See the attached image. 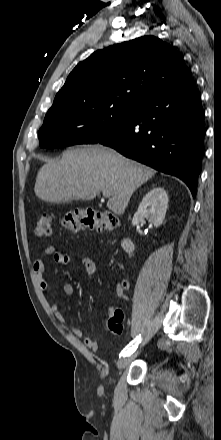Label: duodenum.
<instances>
[{"instance_id":"1","label":"duodenum","mask_w":221,"mask_h":440,"mask_svg":"<svg viewBox=\"0 0 221 440\" xmlns=\"http://www.w3.org/2000/svg\"><path fill=\"white\" fill-rule=\"evenodd\" d=\"M122 247L128 253H131L133 251V244L128 238L123 239Z\"/></svg>"}]
</instances>
